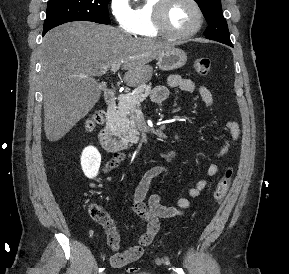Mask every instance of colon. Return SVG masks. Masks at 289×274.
<instances>
[{"label":"colon","mask_w":289,"mask_h":274,"mask_svg":"<svg viewBox=\"0 0 289 274\" xmlns=\"http://www.w3.org/2000/svg\"><path fill=\"white\" fill-rule=\"evenodd\" d=\"M212 67V60L209 57H199L194 61V68L199 75L206 76L209 74ZM104 119V112L97 110L93 112L90 117L86 120L85 128L87 130L93 129L97 124H100ZM233 177L232 167H227L217 183L214 191V199L217 203H220L226 196ZM91 217L104 225L108 233L113 234L115 232L114 224L109 215L98 205L92 204L90 206ZM129 272H137L139 270L136 266H130L127 268ZM146 274V273H141Z\"/></svg>","instance_id":"colon-1"}]
</instances>
